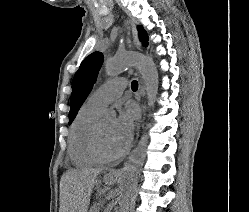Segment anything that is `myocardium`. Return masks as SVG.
<instances>
[{
    "label": "myocardium",
    "instance_id": "1",
    "mask_svg": "<svg viewBox=\"0 0 249 212\" xmlns=\"http://www.w3.org/2000/svg\"><path fill=\"white\" fill-rule=\"evenodd\" d=\"M92 147L97 158L102 162H114L119 160L123 153L109 154L107 153L101 144L100 140V121H96L92 130Z\"/></svg>",
    "mask_w": 249,
    "mask_h": 212
}]
</instances>
